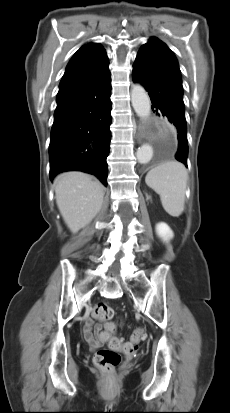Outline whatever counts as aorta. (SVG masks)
<instances>
[{"label": "aorta", "mask_w": 230, "mask_h": 413, "mask_svg": "<svg viewBox=\"0 0 230 413\" xmlns=\"http://www.w3.org/2000/svg\"><path fill=\"white\" fill-rule=\"evenodd\" d=\"M131 102L136 114L141 119H147L151 111L150 98L144 87L134 84L131 89ZM139 163L146 164L153 157V148L150 144H143L136 153Z\"/></svg>", "instance_id": "aorta-1"}]
</instances>
